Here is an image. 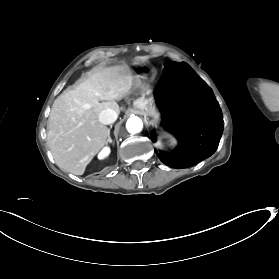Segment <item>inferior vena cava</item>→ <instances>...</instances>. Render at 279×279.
<instances>
[{
	"instance_id": "602c4592",
	"label": "inferior vena cava",
	"mask_w": 279,
	"mask_h": 279,
	"mask_svg": "<svg viewBox=\"0 0 279 279\" xmlns=\"http://www.w3.org/2000/svg\"><path fill=\"white\" fill-rule=\"evenodd\" d=\"M117 119V113L107 108L106 110H103L99 115V120L102 124H111Z\"/></svg>"
}]
</instances>
